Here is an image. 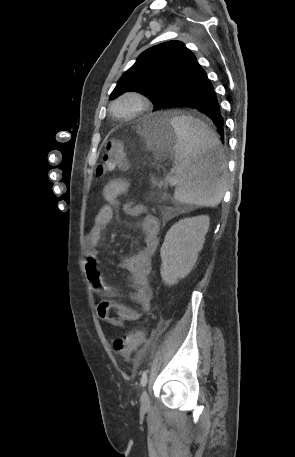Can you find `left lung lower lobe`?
<instances>
[{
  "label": "left lung lower lobe",
  "instance_id": "1",
  "mask_svg": "<svg viewBox=\"0 0 295 457\" xmlns=\"http://www.w3.org/2000/svg\"><path fill=\"white\" fill-rule=\"evenodd\" d=\"M189 86L166 100L162 108L171 106L189 107L198 110L208 116L218 128L221 141L224 144V120L215 96L212 83L204 69L198 62L194 65L187 76ZM216 155L212 153L208 160L213 163Z\"/></svg>",
  "mask_w": 295,
  "mask_h": 457
}]
</instances>
